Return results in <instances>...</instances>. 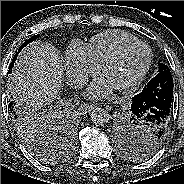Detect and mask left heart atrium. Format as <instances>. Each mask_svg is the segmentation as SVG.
Instances as JSON below:
<instances>
[{"mask_svg": "<svg viewBox=\"0 0 184 184\" xmlns=\"http://www.w3.org/2000/svg\"><path fill=\"white\" fill-rule=\"evenodd\" d=\"M112 88V85L102 76L89 85L87 96L91 99H101L109 95Z\"/></svg>", "mask_w": 184, "mask_h": 184, "instance_id": "39dd6f15", "label": "left heart atrium"}]
</instances>
